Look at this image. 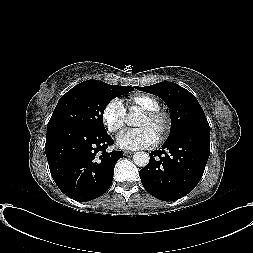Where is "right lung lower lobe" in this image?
<instances>
[{"label": "right lung lower lobe", "mask_w": 253, "mask_h": 253, "mask_svg": "<svg viewBox=\"0 0 253 253\" xmlns=\"http://www.w3.org/2000/svg\"><path fill=\"white\" fill-rule=\"evenodd\" d=\"M113 139L104 132L63 127L47 132L45 152L60 190L77 201H90L111 186L122 151L107 152Z\"/></svg>", "instance_id": "1"}]
</instances>
